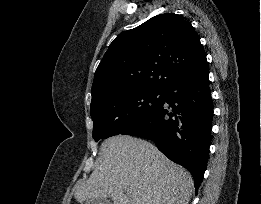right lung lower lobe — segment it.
Returning a JSON list of instances; mask_svg holds the SVG:
<instances>
[{
  "label": "right lung lower lobe",
  "instance_id": "1",
  "mask_svg": "<svg viewBox=\"0 0 261 204\" xmlns=\"http://www.w3.org/2000/svg\"><path fill=\"white\" fill-rule=\"evenodd\" d=\"M206 58L162 91L160 102L121 134L156 142L173 162L190 171L197 191L207 167L213 103Z\"/></svg>",
  "mask_w": 261,
  "mask_h": 204
}]
</instances>
